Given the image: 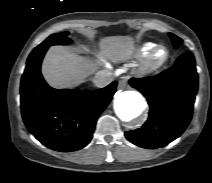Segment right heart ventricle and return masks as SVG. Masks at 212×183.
I'll list each match as a JSON object with an SVG mask.
<instances>
[{"label": "right heart ventricle", "instance_id": "right-heart-ventricle-1", "mask_svg": "<svg viewBox=\"0 0 212 183\" xmlns=\"http://www.w3.org/2000/svg\"><path fill=\"white\" fill-rule=\"evenodd\" d=\"M157 44L153 42H147L144 43L139 49H138V56L144 57L147 55Z\"/></svg>", "mask_w": 212, "mask_h": 183}]
</instances>
